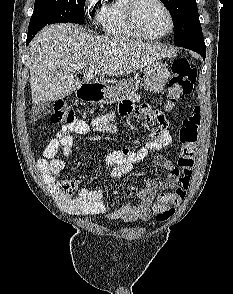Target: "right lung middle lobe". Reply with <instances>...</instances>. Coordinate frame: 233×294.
I'll list each match as a JSON object with an SVG mask.
<instances>
[{"label":"right lung middle lobe","instance_id":"right-lung-middle-lobe-1","mask_svg":"<svg viewBox=\"0 0 233 294\" xmlns=\"http://www.w3.org/2000/svg\"><path fill=\"white\" fill-rule=\"evenodd\" d=\"M85 0H35L28 35L52 23H84Z\"/></svg>","mask_w":233,"mask_h":294}]
</instances>
